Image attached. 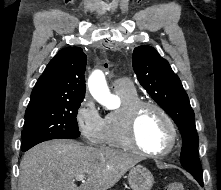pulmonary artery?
I'll use <instances>...</instances> for the list:
<instances>
[{
    "instance_id": "e3ab8cb5",
    "label": "pulmonary artery",
    "mask_w": 221,
    "mask_h": 190,
    "mask_svg": "<svg viewBox=\"0 0 221 190\" xmlns=\"http://www.w3.org/2000/svg\"><path fill=\"white\" fill-rule=\"evenodd\" d=\"M130 86H132V84L126 78H119V79L114 80V82H113L114 89H117V88H128Z\"/></svg>"
}]
</instances>
